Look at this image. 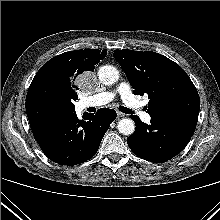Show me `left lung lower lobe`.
<instances>
[{"label": "left lung lower lobe", "instance_id": "left-lung-lower-lobe-1", "mask_svg": "<svg viewBox=\"0 0 220 220\" xmlns=\"http://www.w3.org/2000/svg\"><path fill=\"white\" fill-rule=\"evenodd\" d=\"M197 112H168L151 117L150 125L132 116L135 132L127 139L129 148L140 158L162 163L178 155L191 139Z\"/></svg>", "mask_w": 220, "mask_h": 220}]
</instances>
